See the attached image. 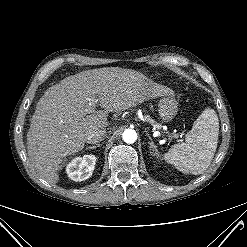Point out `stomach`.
Instances as JSON below:
<instances>
[{
  "mask_svg": "<svg viewBox=\"0 0 247 247\" xmlns=\"http://www.w3.org/2000/svg\"><path fill=\"white\" fill-rule=\"evenodd\" d=\"M158 111L162 121L170 122L177 114L178 103L170 96L163 97L158 104Z\"/></svg>",
  "mask_w": 247,
  "mask_h": 247,
  "instance_id": "1",
  "label": "stomach"
}]
</instances>
